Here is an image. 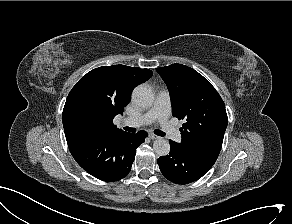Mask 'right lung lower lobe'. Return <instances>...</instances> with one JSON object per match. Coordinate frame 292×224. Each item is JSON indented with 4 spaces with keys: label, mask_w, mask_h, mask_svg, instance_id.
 Returning <instances> with one entry per match:
<instances>
[{
    "label": "right lung lower lobe",
    "mask_w": 292,
    "mask_h": 224,
    "mask_svg": "<svg viewBox=\"0 0 292 224\" xmlns=\"http://www.w3.org/2000/svg\"><path fill=\"white\" fill-rule=\"evenodd\" d=\"M147 132L96 134L66 137L76 162L90 175L103 181H118L131 170L136 148L144 142Z\"/></svg>",
    "instance_id": "98d812e1"
}]
</instances>
